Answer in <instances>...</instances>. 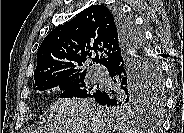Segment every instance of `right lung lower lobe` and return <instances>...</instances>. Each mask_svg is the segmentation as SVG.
<instances>
[{
    "instance_id": "right-lung-lower-lobe-1",
    "label": "right lung lower lobe",
    "mask_w": 184,
    "mask_h": 133,
    "mask_svg": "<svg viewBox=\"0 0 184 133\" xmlns=\"http://www.w3.org/2000/svg\"><path fill=\"white\" fill-rule=\"evenodd\" d=\"M122 37L121 52L106 66L116 87L89 95L99 104L108 106L120 96L138 95L144 86L148 55L141 37H137L133 21L119 10H114Z\"/></svg>"
}]
</instances>
